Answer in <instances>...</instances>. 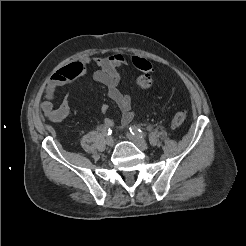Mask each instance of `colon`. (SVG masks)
<instances>
[{"label": "colon", "instance_id": "obj_1", "mask_svg": "<svg viewBox=\"0 0 246 246\" xmlns=\"http://www.w3.org/2000/svg\"><path fill=\"white\" fill-rule=\"evenodd\" d=\"M133 65L142 72L141 75L137 77L136 84L140 89H148L152 85V65L149 61L141 57H132ZM186 112L185 111H177L172 116L171 122L172 125L178 127L182 125L186 120Z\"/></svg>", "mask_w": 246, "mask_h": 246}]
</instances>
